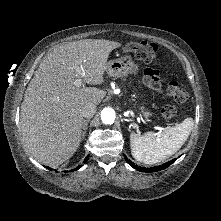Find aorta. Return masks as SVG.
<instances>
[{"label": "aorta", "mask_w": 221, "mask_h": 221, "mask_svg": "<svg viewBox=\"0 0 221 221\" xmlns=\"http://www.w3.org/2000/svg\"><path fill=\"white\" fill-rule=\"evenodd\" d=\"M101 120L104 124H112L115 120V111L112 108H104L101 112Z\"/></svg>", "instance_id": "1"}]
</instances>
